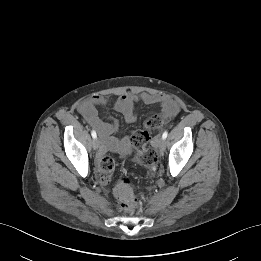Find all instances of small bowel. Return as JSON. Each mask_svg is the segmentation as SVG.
<instances>
[{"instance_id":"1","label":"small bowel","mask_w":261,"mask_h":261,"mask_svg":"<svg viewBox=\"0 0 261 261\" xmlns=\"http://www.w3.org/2000/svg\"><path fill=\"white\" fill-rule=\"evenodd\" d=\"M137 102H142L146 105H160L166 120L179 111V103L175 98L160 93H142L139 95L130 92L125 93L115 100L113 108L124 117L127 123H133L137 119L135 112V104ZM107 104V97L94 95L79 104V112L88 124L103 138L106 145L113 147L114 141L111 138L118 132L119 124L114 119L109 121L101 119L98 113V107H105Z\"/></svg>"}]
</instances>
